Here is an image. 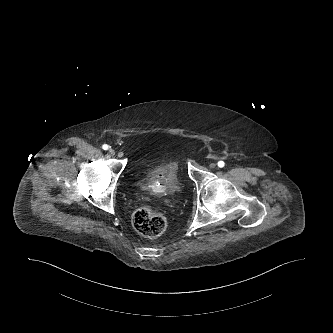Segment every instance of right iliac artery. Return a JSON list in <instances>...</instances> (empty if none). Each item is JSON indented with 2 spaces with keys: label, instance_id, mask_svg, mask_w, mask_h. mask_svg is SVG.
I'll return each instance as SVG.
<instances>
[{
  "label": "right iliac artery",
  "instance_id": "82829eb1",
  "mask_svg": "<svg viewBox=\"0 0 333 333\" xmlns=\"http://www.w3.org/2000/svg\"><path fill=\"white\" fill-rule=\"evenodd\" d=\"M102 148H103L104 150H107V149L109 148V146H108L107 144H104V145L102 146Z\"/></svg>",
  "mask_w": 333,
  "mask_h": 333
}]
</instances>
